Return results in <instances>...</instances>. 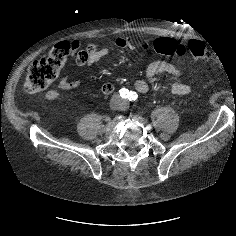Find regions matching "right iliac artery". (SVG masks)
<instances>
[{"mask_svg":"<svg viewBox=\"0 0 236 236\" xmlns=\"http://www.w3.org/2000/svg\"><path fill=\"white\" fill-rule=\"evenodd\" d=\"M129 90L128 89H126V88H121L120 90H119V94H120V96L122 97V98H127L128 97V95H129Z\"/></svg>","mask_w":236,"mask_h":236,"instance_id":"1","label":"right iliac artery"}]
</instances>
